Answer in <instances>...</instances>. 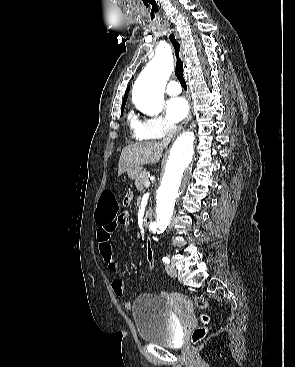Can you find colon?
<instances>
[{"instance_id":"colon-1","label":"colon","mask_w":295,"mask_h":367,"mask_svg":"<svg viewBox=\"0 0 295 367\" xmlns=\"http://www.w3.org/2000/svg\"><path fill=\"white\" fill-rule=\"evenodd\" d=\"M124 204L128 205V199H124ZM118 213H119V206L116 197L112 192H104L99 200L97 210V220L100 222H108L113 219H118ZM145 239L146 240L144 241V244L148 246L146 250L147 261L149 265H151L150 267L153 269L155 267L153 265L154 252L150 247L151 241L147 237ZM195 303L197 307H199L200 309H206L208 307V303L203 297H196ZM203 323L204 324L208 323L207 316H203ZM206 332L207 329L205 326L195 329L192 334L193 342L194 343L200 342L206 335Z\"/></svg>"}]
</instances>
